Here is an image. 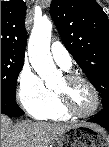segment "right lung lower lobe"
Segmentation results:
<instances>
[{
  "label": "right lung lower lobe",
  "mask_w": 109,
  "mask_h": 147,
  "mask_svg": "<svg viewBox=\"0 0 109 147\" xmlns=\"http://www.w3.org/2000/svg\"><path fill=\"white\" fill-rule=\"evenodd\" d=\"M1 113L12 117L23 115V111L20 107L11 100L5 98L3 95H1Z\"/></svg>",
  "instance_id": "98d812e1"
}]
</instances>
